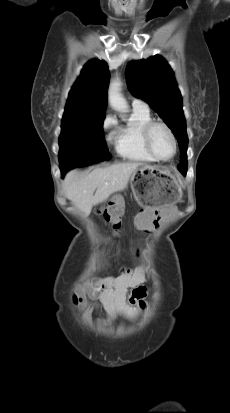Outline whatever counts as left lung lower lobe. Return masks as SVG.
<instances>
[{"mask_svg":"<svg viewBox=\"0 0 230 413\" xmlns=\"http://www.w3.org/2000/svg\"><path fill=\"white\" fill-rule=\"evenodd\" d=\"M186 173H187V172H183L182 174H183L184 176H186Z\"/></svg>","mask_w":230,"mask_h":413,"instance_id":"left-lung-lower-lobe-1","label":"left lung lower lobe"}]
</instances>
